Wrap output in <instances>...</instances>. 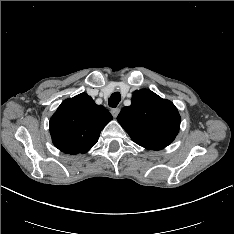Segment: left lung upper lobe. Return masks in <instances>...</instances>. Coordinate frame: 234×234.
<instances>
[{
  "label": "left lung upper lobe",
  "instance_id": "left-lung-upper-lobe-1",
  "mask_svg": "<svg viewBox=\"0 0 234 234\" xmlns=\"http://www.w3.org/2000/svg\"><path fill=\"white\" fill-rule=\"evenodd\" d=\"M117 120L135 143L152 150L168 146L180 126L175 105L148 89L136 90L132 104L121 110Z\"/></svg>",
  "mask_w": 234,
  "mask_h": 234
}]
</instances>
